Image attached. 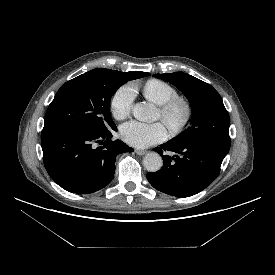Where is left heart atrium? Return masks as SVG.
I'll list each match as a JSON object with an SVG mask.
<instances>
[{
	"mask_svg": "<svg viewBox=\"0 0 275 275\" xmlns=\"http://www.w3.org/2000/svg\"><path fill=\"white\" fill-rule=\"evenodd\" d=\"M120 135L127 144L137 148H146L166 140L168 132L161 122L130 121L121 126Z\"/></svg>",
	"mask_w": 275,
	"mask_h": 275,
	"instance_id": "left-heart-atrium-1",
	"label": "left heart atrium"
}]
</instances>
